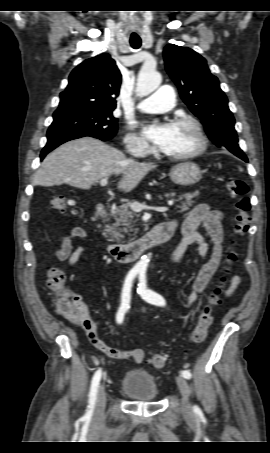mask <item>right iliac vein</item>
<instances>
[{
  "label": "right iliac vein",
  "instance_id": "1",
  "mask_svg": "<svg viewBox=\"0 0 270 453\" xmlns=\"http://www.w3.org/2000/svg\"><path fill=\"white\" fill-rule=\"evenodd\" d=\"M105 404H106V392H105V387L104 385H101L98 390L97 394V401L94 409V414L97 417H100L105 409Z\"/></svg>",
  "mask_w": 270,
  "mask_h": 453
}]
</instances>
